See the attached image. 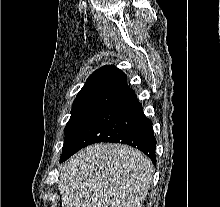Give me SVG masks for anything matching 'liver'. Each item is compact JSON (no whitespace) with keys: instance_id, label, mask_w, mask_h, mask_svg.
Wrapping results in <instances>:
<instances>
[{"instance_id":"6515ba94","label":"liver","mask_w":220,"mask_h":207,"mask_svg":"<svg viewBox=\"0 0 220 207\" xmlns=\"http://www.w3.org/2000/svg\"><path fill=\"white\" fill-rule=\"evenodd\" d=\"M154 166L141 151L99 143L72 156L61 168L62 207H142Z\"/></svg>"}]
</instances>
